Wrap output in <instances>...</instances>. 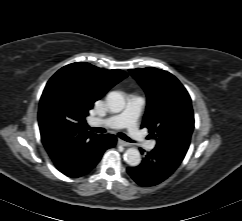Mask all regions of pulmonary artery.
<instances>
[{
  "label": "pulmonary artery",
  "instance_id": "obj_1",
  "mask_svg": "<svg viewBox=\"0 0 242 221\" xmlns=\"http://www.w3.org/2000/svg\"><path fill=\"white\" fill-rule=\"evenodd\" d=\"M145 103L143 97H132L129 99L124 111L103 119H96L95 122L113 129L125 127L133 140L145 145L148 149H153L155 143L153 141H146L138 128L139 117Z\"/></svg>",
  "mask_w": 242,
  "mask_h": 221
}]
</instances>
